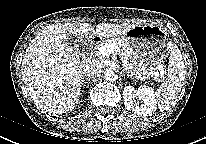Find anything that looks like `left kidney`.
<instances>
[{
  "mask_svg": "<svg viewBox=\"0 0 206 144\" xmlns=\"http://www.w3.org/2000/svg\"><path fill=\"white\" fill-rule=\"evenodd\" d=\"M135 98L142 103L135 106ZM124 105L127 110H132L139 116H152L156 111V99L152 88L147 86L139 87L138 90L133 86H125L123 91Z\"/></svg>",
  "mask_w": 206,
  "mask_h": 144,
  "instance_id": "1",
  "label": "left kidney"
}]
</instances>
